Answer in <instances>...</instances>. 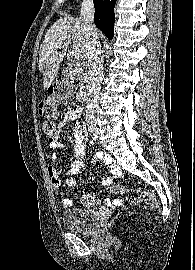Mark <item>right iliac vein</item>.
I'll return each mask as SVG.
<instances>
[{
    "instance_id": "1",
    "label": "right iliac vein",
    "mask_w": 195,
    "mask_h": 270,
    "mask_svg": "<svg viewBox=\"0 0 195 270\" xmlns=\"http://www.w3.org/2000/svg\"><path fill=\"white\" fill-rule=\"evenodd\" d=\"M92 138L94 139V140H98V137H99V133L97 132V131H94V132H92Z\"/></svg>"
}]
</instances>
